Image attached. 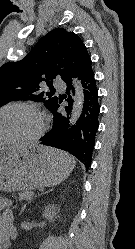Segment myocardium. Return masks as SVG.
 <instances>
[{
    "instance_id": "1",
    "label": "myocardium",
    "mask_w": 135,
    "mask_h": 249,
    "mask_svg": "<svg viewBox=\"0 0 135 249\" xmlns=\"http://www.w3.org/2000/svg\"><path fill=\"white\" fill-rule=\"evenodd\" d=\"M13 107L25 108L35 113L39 119V129L31 137L0 140V144L29 145V144H33L37 142L43 136L46 130V127H47L46 115L44 111L35 104L28 103V102L15 101V102H9L1 106L0 112L8 108H13Z\"/></svg>"
}]
</instances>
